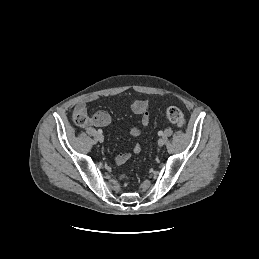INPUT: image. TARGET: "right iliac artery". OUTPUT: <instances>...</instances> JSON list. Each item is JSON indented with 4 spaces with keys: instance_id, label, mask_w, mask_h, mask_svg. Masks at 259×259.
<instances>
[{
    "instance_id": "82829eb1",
    "label": "right iliac artery",
    "mask_w": 259,
    "mask_h": 259,
    "mask_svg": "<svg viewBox=\"0 0 259 259\" xmlns=\"http://www.w3.org/2000/svg\"><path fill=\"white\" fill-rule=\"evenodd\" d=\"M98 133H99V134H102L103 131H102L101 129H98Z\"/></svg>"
}]
</instances>
